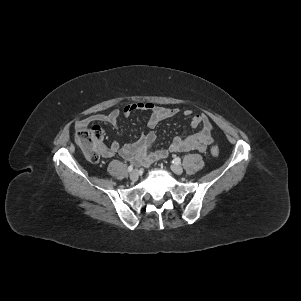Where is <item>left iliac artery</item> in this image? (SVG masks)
<instances>
[{
    "label": "left iliac artery",
    "mask_w": 301,
    "mask_h": 301,
    "mask_svg": "<svg viewBox=\"0 0 301 301\" xmlns=\"http://www.w3.org/2000/svg\"><path fill=\"white\" fill-rule=\"evenodd\" d=\"M173 163L175 164H180L181 163V159L179 157H176L174 160H173Z\"/></svg>",
    "instance_id": "44dca946"
}]
</instances>
